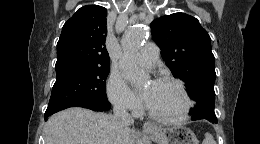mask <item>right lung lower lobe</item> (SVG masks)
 <instances>
[{
	"instance_id": "right-lung-lower-lobe-1",
	"label": "right lung lower lobe",
	"mask_w": 260,
	"mask_h": 144,
	"mask_svg": "<svg viewBox=\"0 0 260 144\" xmlns=\"http://www.w3.org/2000/svg\"><path fill=\"white\" fill-rule=\"evenodd\" d=\"M110 107H111V104L109 102H101V103H96V104L85 106L84 108L91 109L93 111H106V110L110 109ZM63 109H66V108H60V109L48 111L45 113L44 118L46 119L47 117L51 116L52 114H54L60 110H63Z\"/></svg>"
}]
</instances>
